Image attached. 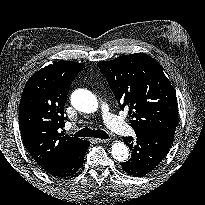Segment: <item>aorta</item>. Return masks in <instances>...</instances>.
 Masks as SVG:
<instances>
[{
	"label": "aorta",
	"instance_id": "762f6f07",
	"mask_svg": "<svg viewBox=\"0 0 205 205\" xmlns=\"http://www.w3.org/2000/svg\"><path fill=\"white\" fill-rule=\"evenodd\" d=\"M72 106L84 113H94L98 109L96 96L86 89L75 90L70 97ZM111 154L119 162L126 161L129 156V149L123 142H115L111 147Z\"/></svg>",
	"mask_w": 205,
	"mask_h": 205
}]
</instances>
